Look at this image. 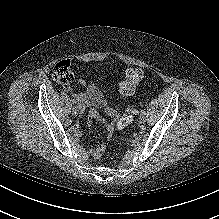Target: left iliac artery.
Listing matches in <instances>:
<instances>
[{
  "label": "left iliac artery",
  "instance_id": "1",
  "mask_svg": "<svg viewBox=\"0 0 219 219\" xmlns=\"http://www.w3.org/2000/svg\"><path fill=\"white\" fill-rule=\"evenodd\" d=\"M141 113H146V112H145V109H142V110H141Z\"/></svg>",
  "mask_w": 219,
  "mask_h": 219
}]
</instances>
